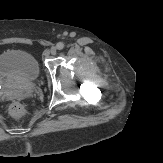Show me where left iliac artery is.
Wrapping results in <instances>:
<instances>
[{"label": "left iliac artery", "instance_id": "44dca946", "mask_svg": "<svg viewBox=\"0 0 163 163\" xmlns=\"http://www.w3.org/2000/svg\"><path fill=\"white\" fill-rule=\"evenodd\" d=\"M58 50H62L64 48V44L62 42L57 43L56 45Z\"/></svg>", "mask_w": 163, "mask_h": 163}]
</instances>
